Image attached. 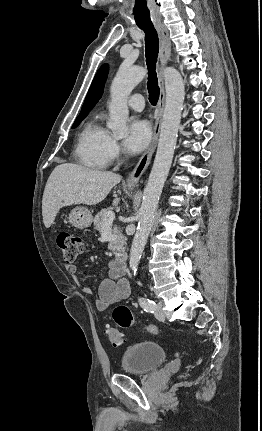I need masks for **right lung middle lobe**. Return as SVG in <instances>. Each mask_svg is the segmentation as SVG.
<instances>
[{"label": "right lung middle lobe", "mask_w": 262, "mask_h": 431, "mask_svg": "<svg viewBox=\"0 0 262 431\" xmlns=\"http://www.w3.org/2000/svg\"><path fill=\"white\" fill-rule=\"evenodd\" d=\"M85 117H86V116H78V117L76 118V120H75V122H74V124H73L72 128L77 127V126L80 124V122H81Z\"/></svg>", "instance_id": "1"}]
</instances>
